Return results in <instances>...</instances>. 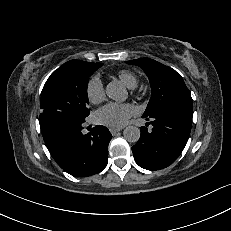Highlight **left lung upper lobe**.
Returning <instances> with one entry per match:
<instances>
[{
	"label": "left lung upper lobe",
	"instance_id": "obj_1",
	"mask_svg": "<svg viewBox=\"0 0 231 231\" xmlns=\"http://www.w3.org/2000/svg\"><path fill=\"white\" fill-rule=\"evenodd\" d=\"M126 63L141 67L149 77L151 98L144 116L170 104L192 105L190 91L174 69L150 58L135 59Z\"/></svg>",
	"mask_w": 231,
	"mask_h": 231
}]
</instances>
